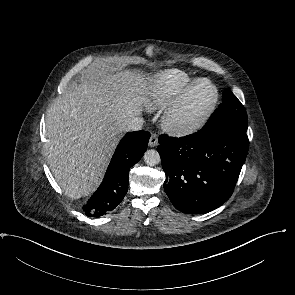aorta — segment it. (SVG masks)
Returning a JSON list of instances; mask_svg holds the SVG:
<instances>
[{
	"label": "aorta",
	"instance_id": "aorta-1",
	"mask_svg": "<svg viewBox=\"0 0 295 295\" xmlns=\"http://www.w3.org/2000/svg\"><path fill=\"white\" fill-rule=\"evenodd\" d=\"M144 162L148 166H155L160 162V155L156 150H147L144 154Z\"/></svg>",
	"mask_w": 295,
	"mask_h": 295
}]
</instances>
